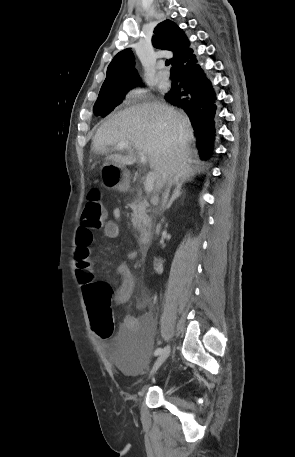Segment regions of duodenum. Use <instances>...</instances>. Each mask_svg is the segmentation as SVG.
Instances as JSON below:
<instances>
[{
	"mask_svg": "<svg viewBox=\"0 0 295 457\" xmlns=\"http://www.w3.org/2000/svg\"><path fill=\"white\" fill-rule=\"evenodd\" d=\"M153 234L150 229H145L140 235V250L143 254H146L150 248Z\"/></svg>",
	"mask_w": 295,
	"mask_h": 457,
	"instance_id": "duodenum-1",
	"label": "duodenum"
}]
</instances>
